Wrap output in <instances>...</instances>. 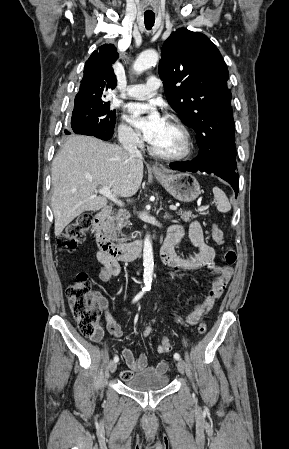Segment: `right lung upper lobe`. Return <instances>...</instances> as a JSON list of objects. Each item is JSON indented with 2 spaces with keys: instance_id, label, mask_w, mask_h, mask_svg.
Instances as JSON below:
<instances>
[{
  "instance_id": "obj_1",
  "label": "right lung upper lobe",
  "mask_w": 289,
  "mask_h": 449,
  "mask_svg": "<svg viewBox=\"0 0 289 449\" xmlns=\"http://www.w3.org/2000/svg\"><path fill=\"white\" fill-rule=\"evenodd\" d=\"M117 59L118 53L112 44L102 45L99 52L94 51L85 63L84 77L78 93L114 89L117 79L112 64Z\"/></svg>"
}]
</instances>
